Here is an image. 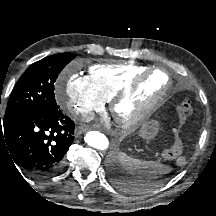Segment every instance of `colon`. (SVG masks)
<instances>
[{
  "mask_svg": "<svg viewBox=\"0 0 216 216\" xmlns=\"http://www.w3.org/2000/svg\"><path fill=\"white\" fill-rule=\"evenodd\" d=\"M178 122L174 129V140L172 145L163 152L166 159H178L182 155L183 142L180 136L182 126L191 115L192 106L188 96H183L177 103Z\"/></svg>",
  "mask_w": 216,
  "mask_h": 216,
  "instance_id": "colon-1",
  "label": "colon"
}]
</instances>
